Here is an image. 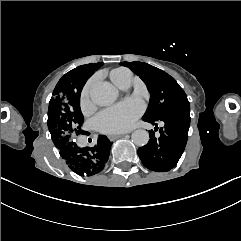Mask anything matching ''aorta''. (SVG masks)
Here are the masks:
<instances>
[{"instance_id":"obj_1","label":"aorta","mask_w":241,"mask_h":241,"mask_svg":"<svg viewBox=\"0 0 241 241\" xmlns=\"http://www.w3.org/2000/svg\"><path fill=\"white\" fill-rule=\"evenodd\" d=\"M90 97L99 106H108L115 102L118 90L109 82L98 81L90 89ZM132 142L137 146H145L149 141V133L146 130H135L131 135Z\"/></svg>"}]
</instances>
